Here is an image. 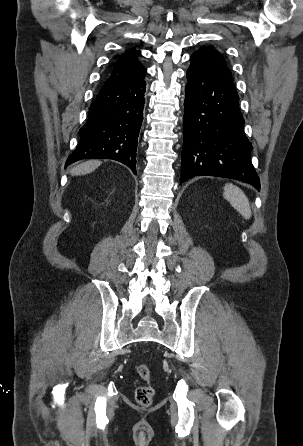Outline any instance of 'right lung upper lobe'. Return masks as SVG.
Listing matches in <instances>:
<instances>
[{
    "instance_id": "cb5924a9",
    "label": "right lung upper lobe",
    "mask_w": 303,
    "mask_h": 446,
    "mask_svg": "<svg viewBox=\"0 0 303 446\" xmlns=\"http://www.w3.org/2000/svg\"><path fill=\"white\" fill-rule=\"evenodd\" d=\"M140 54V51L132 49L119 57H115L110 75L102 88L132 81L144 76L146 69L136 58Z\"/></svg>"
}]
</instances>
